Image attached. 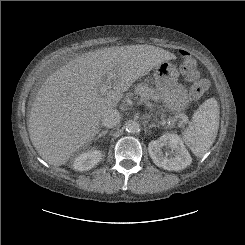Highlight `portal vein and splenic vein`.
Returning <instances> with one entry per match:
<instances>
[{
  "mask_svg": "<svg viewBox=\"0 0 245 245\" xmlns=\"http://www.w3.org/2000/svg\"><path fill=\"white\" fill-rule=\"evenodd\" d=\"M114 78V74L112 72H110L107 75L106 81L103 83V85L100 88V92L101 94H104L107 92V90L109 89L110 85H111V81ZM181 118L183 120L184 123H189L188 117L186 115H181Z\"/></svg>",
  "mask_w": 245,
  "mask_h": 245,
  "instance_id": "18ae733b",
  "label": "portal vein and splenic vein"
}]
</instances>
